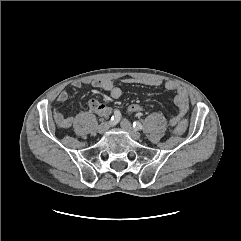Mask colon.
Returning a JSON list of instances; mask_svg holds the SVG:
<instances>
[{
    "instance_id": "1",
    "label": "colon",
    "mask_w": 241,
    "mask_h": 241,
    "mask_svg": "<svg viewBox=\"0 0 241 241\" xmlns=\"http://www.w3.org/2000/svg\"><path fill=\"white\" fill-rule=\"evenodd\" d=\"M143 111V106L141 104L138 103H133L128 107V112L130 114H139ZM187 121L184 119L179 120L175 126H174V130L176 134H182L185 129L187 128Z\"/></svg>"
}]
</instances>
